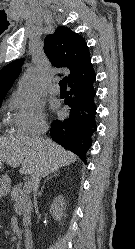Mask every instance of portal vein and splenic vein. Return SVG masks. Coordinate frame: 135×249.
I'll return each mask as SVG.
<instances>
[{"label": "portal vein and splenic vein", "mask_w": 135, "mask_h": 249, "mask_svg": "<svg viewBox=\"0 0 135 249\" xmlns=\"http://www.w3.org/2000/svg\"><path fill=\"white\" fill-rule=\"evenodd\" d=\"M31 188H32L31 182L28 181V182H26V183L24 184V187H23L24 191L30 192V191H31Z\"/></svg>", "instance_id": "1"}]
</instances>
